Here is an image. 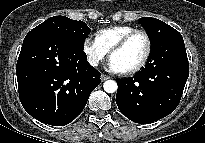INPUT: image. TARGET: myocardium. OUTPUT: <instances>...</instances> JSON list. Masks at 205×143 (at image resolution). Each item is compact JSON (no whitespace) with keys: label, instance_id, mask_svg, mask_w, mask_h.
I'll list each match as a JSON object with an SVG mask.
<instances>
[{"label":"myocardium","instance_id":"myocardium-1","mask_svg":"<svg viewBox=\"0 0 205 143\" xmlns=\"http://www.w3.org/2000/svg\"><path fill=\"white\" fill-rule=\"evenodd\" d=\"M137 34H141L145 37V39H146V51H145V54H144L142 60L137 65L124 71L126 74L136 73V72L140 71L147 64V62L150 58L151 52H152V41H151L150 35L148 34V32L146 30L134 29L131 32L127 33L125 36H123L110 50V58H112V56L116 52L122 50L128 44V42Z\"/></svg>","mask_w":205,"mask_h":143}]
</instances>
